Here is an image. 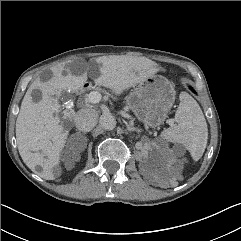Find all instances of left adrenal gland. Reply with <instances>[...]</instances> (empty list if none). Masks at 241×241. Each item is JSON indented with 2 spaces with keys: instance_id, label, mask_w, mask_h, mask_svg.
Instances as JSON below:
<instances>
[{
  "instance_id": "a2214340",
  "label": "left adrenal gland",
  "mask_w": 241,
  "mask_h": 241,
  "mask_svg": "<svg viewBox=\"0 0 241 241\" xmlns=\"http://www.w3.org/2000/svg\"><path fill=\"white\" fill-rule=\"evenodd\" d=\"M127 129H128L129 132H133V131L140 132L141 131L140 129L135 128V127H133V126H131L129 124H127Z\"/></svg>"
}]
</instances>
